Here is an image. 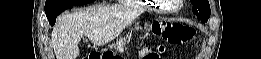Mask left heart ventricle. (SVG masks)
I'll return each mask as SVG.
<instances>
[{
    "label": "left heart ventricle",
    "mask_w": 261,
    "mask_h": 59,
    "mask_svg": "<svg viewBox=\"0 0 261 59\" xmlns=\"http://www.w3.org/2000/svg\"><path fill=\"white\" fill-rule=\"evenodd\" d=\"M170 8H175L177 6V3L179 1L177 0H167V1H164Z\"/></svg>",
    "instance_id": "1"
}]
</instances>
